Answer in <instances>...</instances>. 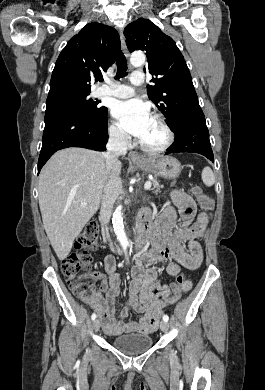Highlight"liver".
<instances>
[{"label":"liver","mask_w":265,"mask_h":390,"mask_svg":"<svg viewBox=\"0 0 265 390\" xmlns=\"http://www.w3.org/2000/svg\"><path fill=\"white\" fill-rule=\"evenodd\" d=\"M121 168L117 160L108 172L103 153L72 147L56 152L41 170L38 199L43 226L60 260L69 255L75 238L98 211L106 182L119 178Z\"/></svg>","instance_id":"obj_1"}]
</instances>
